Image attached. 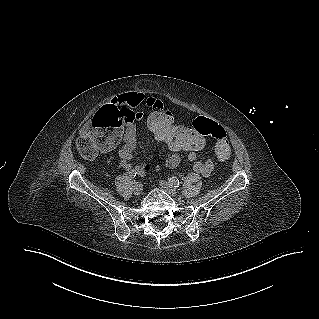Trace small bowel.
<instances>
[{
  "mask_svg": "<svg viewBox=\"0 0 319 319\" xmlns=\"http://www.w3.org/2000/svg\"><path fill=\"white\" fill-rule=\"evenodd\" d=\"M141 103H145L149 113H162L168 109L167 106H163L162 102L154 97L145 98L143 94L137 92L121 94L115 97L106 107L98 109L97 116L91 118L90 127L85 126L80 130L81 137L87 136L90 146L101 153L111 152L122 143L117 153L121 167L128 172L137 170L143 173L142 168L136 167L132 169L130 164L132 153L137 146L135 123L138 121L146 122V116L138 109ZM168 112L171 114L170 111ZM171 116L173 117L172 114ZM185 127L188 128L190 126ZM196 134L203 135L198 130H196ZM179 152L170 154L155 170L178 166L181 161ZM187 158L194 163L193 169L195 172L203 176H210L213 173L214 162L212 159L202 161L198 159V153L193 154L190 152H187Z\"/></svg>",
  "mask_w": 319,
  "mask_h": 319,
  "instance_id": "small-bowel-1",
  "label": "small bowel"
}]
</instances>
